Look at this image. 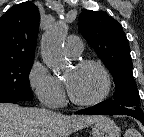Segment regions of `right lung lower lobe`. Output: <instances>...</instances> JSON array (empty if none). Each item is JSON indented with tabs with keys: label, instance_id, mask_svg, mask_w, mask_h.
Masks as SVG:
<instances>
[{
	"label": "right lung lower lobe",
	"instance_id": "1",
	"mask_svg": "<svg viewBox=\"0 0 144 137\" xmlns=\"http://www.w3.org/2000/svg\"><path fill=\"white\" fill-rule=\"evenodd\" d=\"M3 102L16 103V101L14 100H0V103H3Z\"/></svg>",
	"mask_w": 144,
	"mask_h": 137
}]
</instances>
